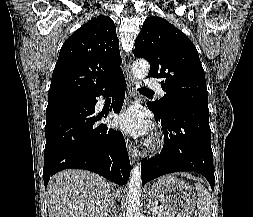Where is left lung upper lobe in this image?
Returning <instances> with one entry per match:
<instances>
[{
	"label": "left lung upper lobe",
	"mask_w": 253,
	"mask_h": 217,
	"mask_svg": "<svg viewBox=\"0 0 253 217\" xmlns=\"http://www.w3.org/2000/svg\"><path fill=\"white\" fill-rule=\"evenodd\" d=\"M134 55L149 61L148 77L162 79L161 87L166 94L153 104L158 113L172 107L209 112L198 51L182 31L161 17H149L136 38Z\"/></svg>",
	"instance_id": "left-lung-upper-lobe-1"
}]
</instances>
